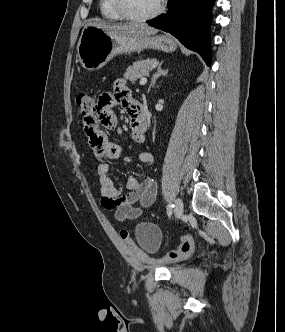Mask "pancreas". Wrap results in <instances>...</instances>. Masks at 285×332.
I'll return each instance as SVG.
<instances>
[{
  "instance_id": "1",
  "label": "pancreas",
  "mask_w": 285,
  "mask_h": 332,
  "mask_svg": "<svg viewBox=\"0 0 285 332\" xmlns=\"http://www.w3.org/2000/svg\"><path fill=\"white\" fill-rule=\"evenodd\" d=\"M154 63V59H145L139 60L133 63L132 66H129L124 74V78L135 82L136 79L141 78L147 75Z\"/></svg>"
}]
</instances>
